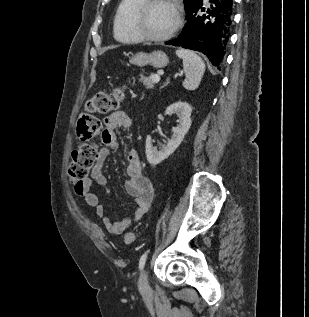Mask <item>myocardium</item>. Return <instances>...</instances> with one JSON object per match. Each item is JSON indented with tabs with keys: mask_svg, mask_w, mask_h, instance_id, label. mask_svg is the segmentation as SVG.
<instances>
[{
	"mask_svg": "<svg viewBox=\"0 0 309 317\" xmlns=\"http://www.w3.org/2000/svg\"><path fill=\"white\" fill-rule=\"evenodd\" d=\"M158 3H168L174 8L176 13V22L170 31L163 35L155 36L144 31L142 22L147 12ZM183 20V12L179 0H143L132 14L131 28L140 40L158 43L171 39L182 27Z\"/></svg>",
	"mask_w": 309,
	"mask_h": 317,
	"instance_id": "f54148a6",
	"label": "myocardium"
}]
</instances>
